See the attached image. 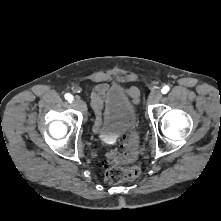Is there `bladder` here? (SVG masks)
Returning a JSON list of instances; mask_svg holds the SVG:
<instances>
[{"label":"bladder","instance_id":"1","mask_svg":"<svg viewBox=\"0 0 221 221\" xmlns=\"http://www.w3.org/2000/svg\"><path fill=\"white\" fill-rule=\"evenodd\" d=\"M137 124L138 114L134 101L120 85H112L106 94L99 135L112 136Z\"/></svg>","mask_w":221,"mask_h":221}]
</instances>
